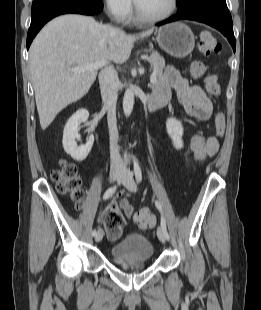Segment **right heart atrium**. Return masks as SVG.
I'll list each match as a JSON object with an SVG mask.
<instances>
[{"label": "right heart atrium", "mask_w": 261, "mask_h": 310, "mask_svg": "<svg viewBox=\"0 0 261 310\" xmlns=\"http://www.w3.org/2000/svg\"><path fill=\"white\" fill-rule=\"evenodd\" d=\"M107 14L114 20L125 23L132 15L131 0H102Z\"/></svg>", "instance_id": "1"}]
</instances>
